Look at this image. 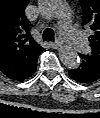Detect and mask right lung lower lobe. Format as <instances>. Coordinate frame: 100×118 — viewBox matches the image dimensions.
Here are the masks:
<instances>
[{
	"instance_id": "98d812e1",
	"label": "right lung lower lobe",
	"mask_w": 100,
	"mask_h": 118,
	"mask_svg": "<svg viewBox=\"0 0 100 118\" xmlns=\"http://www.w3.org/2000/svg\"><path fill=\"white\" fill-rule=\"evenodd\" d=\"M36 62H37V60L35 61L34 64H32L31 68L28 70L26 75L23 76L19 81L29 78L35 72V70H36Z\"/></svg>"
}]
</instances>
